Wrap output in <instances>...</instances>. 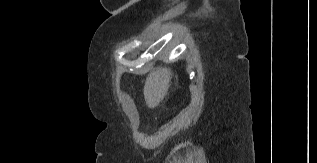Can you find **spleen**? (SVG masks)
I'll use <instances>...</instances> for the list:
<instances>
[{
    "instance_id": "1",
    "label": "spleen",
    "mask_w": 317,
    "mask_h": 163,
    "mask_svg": "<svg viewBox=\"0 0 317 163\" xmlns=\"http://www.w3.org/2000/svg\"><path fill=\"white\" fill-rule=\"evenodd\" d=\"M171 76V70L167 68L153 71L148 75L144 86V96L149 106H157L164 98Z\"/></svg>"
}]
</instances>
